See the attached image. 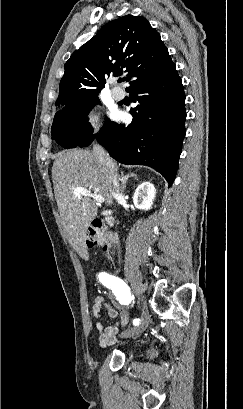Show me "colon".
Segmentation results:
<instances>
[{"mask_svg":"<svg viewBox=\"0 0 243 409\" xmlns=\"http://www.w3.org/2000/svg\"><path fill=\"white\" fill-rule=\"evenodd\" d=\"M115 242L116 237L107 234L99 221H95L89 226L86 236L88 247H103V249L108 252Z\"/></svg>","mask_w":243,"mask_h":409,"instance_id":"1","label":"colon"}]
</instances>
